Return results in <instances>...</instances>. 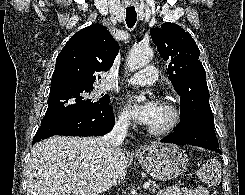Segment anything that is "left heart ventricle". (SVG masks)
<instances>
[{
    "label": "left heart ventricle",
    "mask_w": 245,
    "mask_h": 195,
    "mask_svg": "<svg viewBox=\"0 0 245 195\" xmlns=\"http://www.w3.org/2000/svg\"><path fill=\"white\" fill-rule=\"evenodd\" d=\"M169 118H170V113L168 112V110L159 104L158 111L154 119L152 120V122L148 125V127H152V128L160 127L165 123H167Z\"/></svg>",
    "instance_id": "obj_1"
}]
</instances>
